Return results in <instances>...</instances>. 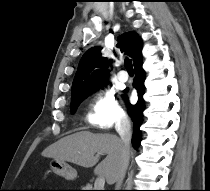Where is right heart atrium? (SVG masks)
I'll return each instance as SVG.
<instances>
[{
  "instance_id": "1",
  "label": "right heart atrium",
  "mask_w": 210,
  "mask_h": 191,
  "mask_svg": "<svg viewBox=\"0 0 210 191\" xmlns=\"http://www.w3.org/2000/svg\"><path fill=\"white\" fill-rule=\"evenodd\" d=\"M125 117L112 91L99 93L89 106L88 122L102 130L110 129Z\"/></svg>"
}]
</instances>
